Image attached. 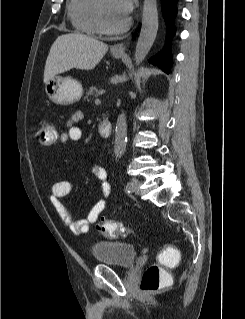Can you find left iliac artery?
Instances as JSON below:
<instances>
[{"mask_svg": "<svg viewBox=\"0 0 245 319\" xmlns=\"http://www.w3.org/2000/svg\"><path fill=\"white\" fill-rule=\"evenodd\" d=\"M125 188H126V190H127L128 192H130L131 189H132L131 183L128 182V183L126 184V187H125Z\"/></svg>", "mask_w": 245, "mask_h": 319, "instance_id": "obj_1", "label": "left iliac artery"}]
</instances>
